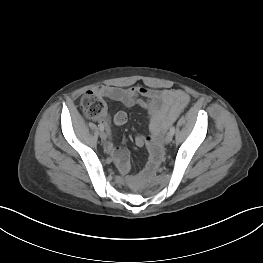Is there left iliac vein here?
Masks as SVG:
<instances>
[{"mask_svg":"<svg viewBox=\"0 0 263 263\" xmlns=\"http://www.w3.org/2000/svg\"><path fill=\"white\" fill-rule=\"evenodd\" d=\"M173 139V134L169 132L165 137V143L169 144Z\"/></svg>","mask_w":263,"mask_h":263,"instance_id":"1","label":"left iliac vein"}]
</instances>
